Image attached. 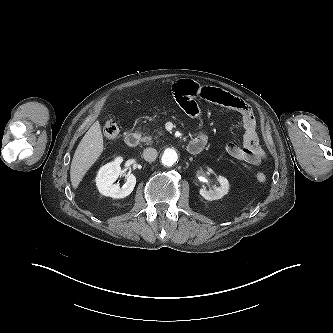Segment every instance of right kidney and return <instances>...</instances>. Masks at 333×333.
<instances>
[{
  "label": "right kidney",
  "mask_w": 333,
  "mask_h": 333,
  "mask_svg": "<svg viewBox=\"0 0 333 333\" xmlns=\"http://www.w3.org/2000/svg\"><path fill=\"white\" fill-rule=\"evenodd\" d=\"M122 161L121 157H117L113 162L102 166L98 171L95 181L97 189L102 195L112 198H124L133 191L136 184V177L133 174L127 175L126 182L122 187L118 184H113L124 173L120 167Z\"/></svg>",
  "instance_id": "right-kidney-1"
}]
</instances>
